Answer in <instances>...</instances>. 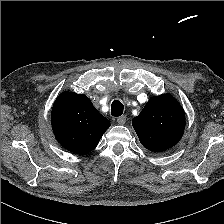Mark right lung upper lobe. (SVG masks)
Listing matches in <instances>:
<instances>
[{"label": "right lung upper lobe", "instance_id": "cb5924a9", "mask_svg": "<svg viewBox=\"0 0 224 224\" xmlns=\"http://www.w3.org/2000/svg\"><path fill=\"white\" fill-rule=\"evenodd\" d=\"M51 124L57 141L70 152L86 154L110 127L86 95L61 93L52 108Z\"/></svg>", "mask_w": 224, "mask_h": 224}]
</instances>
